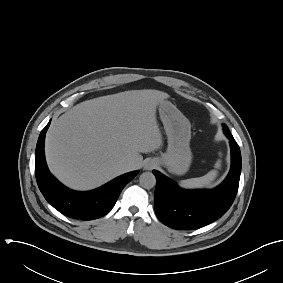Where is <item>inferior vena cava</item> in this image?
I'll use <instances>...</instances> for the list:
<instances>
[{"label":"inferior vena cava","mask_w":283,"mask_h":283,"mask_svg":"<svg viewBox=\"0 0 283 283\" xmlns=\"http://www.w3.org/2000/svg\"><path fill=\"white\" fill-rule=\"evenodd\" d=\"M120 167L122 168L124 172L133 170L132 163L127 162V161L121 162Z\"/></svg>","instance_id":"1"}]
</instances>
